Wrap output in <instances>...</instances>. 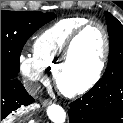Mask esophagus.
<instances>
[{"mask_svg": "<svg viewBox=\"0 0 123 123\" xmlns=\"http://www.w3.org/2000/svg\"><path fill=\"white\" fill-rule=\"evenodd\" d=\"M41 103H42L43 106H48V105H50L52 103V100L44 99V100H42Z\"/></svg>", "mask_w": 123, "mask_h": 123, "instance_id": "34e87169", "label": "esophagus"}]
</instances>
